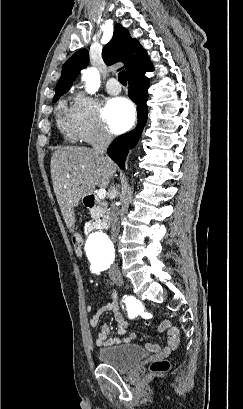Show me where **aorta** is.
I'll return each mask as SVG.
<instances>
[{"instance_id":"aorta-1","label":"aorta","mask_w":243,"mask_h":409,"mask_svg":"<svg viewBox=\"0 0 243 409\" xmlns=\"http://www.w3.org/2000/svg\"><path fill=\"white\" fill-rule=\"evenodd\" d=\"M85 81L86 91L94 94L100 87V75L96 68L90 67L83 71L82 75ZM111 241L102 231H93L89 234L86 241V253L91 261L100 263L111 249Z\"/></svg>"}]
</instances>
